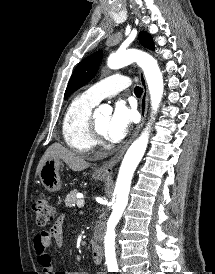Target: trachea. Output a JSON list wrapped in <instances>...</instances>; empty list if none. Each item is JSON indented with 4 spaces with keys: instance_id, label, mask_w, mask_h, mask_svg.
<instances>
[{
    "instance_id": "obj_1",
    "label": "trachea",
    "mask_w": 215,
    "mask_h": 274,
    "mask_svg": "<svg viewBox=\"0 0 215 274\" xmlns=\"http://www.w3.org/2000/svg\"><path fill=\"white\" fill-rule=\"evenodd\" d=\"M134 92H135V95H136L137 97H140V96L142 95L143 90H142L141 87L136 86L135 89H134Z\"/></svg>"
}]
</instances>
